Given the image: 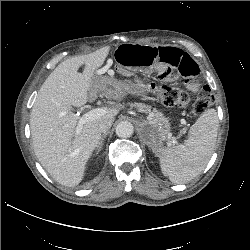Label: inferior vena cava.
<instances>
[{"label": "inferior vena cava", "instance_id": "602c4592", "mask_svg": "<svg viewBox=\"0 0 250 250\" xmlns=\"http://www.w3.org/2000/svg\"><path fill=\"white\" fill-rule=\"evenodd\" d=\"M113 119L104 120L99 124V131L102 133L108 132V130L111 128V125L113 123Z\"/></svg>", "mask_w": 250, "mask_h": 250}]
</instances>
